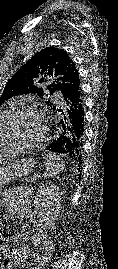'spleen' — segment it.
<instances>
[{"label":"spleen","mask_w":118,"mask_h":269,"mask_svg":"<svg viewBox=\"0 0 118 269\" xmlns=\"http://www.w3.org/2000/svg\"><path fill=\"white\" fill-rule=\"evenodd\" d=\"M45 172L47 176L53 177L58 174L64 169V160L54 153H47L45 157Z\"/></svg>","instance_id":"obj_1"}]
</instances>
